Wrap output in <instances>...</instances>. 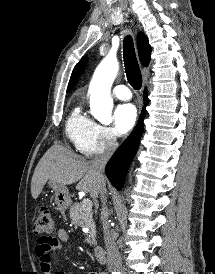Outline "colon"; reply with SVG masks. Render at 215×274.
I'll return each instance as SVG.
<instances>
[{
	"instance_id": "5ec220e1",
	"label": "colon",
	"mask_w": 215,
	"mask_h": 274,
	"mask_svg": "<svg viewBox=\"0 0 215 274\" xmlns=\"http://www.w3.org/2000/svg\"><path fill=\"white\" fill-rule=\"evenodd\" d=\"M54 230V223L51 217V211L48 206H41L38 210L37 219L33 225V231L41 237H50Z\"/></svg>"
}]
</instances>
